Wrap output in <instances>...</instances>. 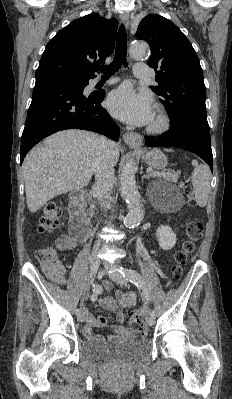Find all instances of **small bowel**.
<instances>
[{
	"instance_id": "small-bowel-1",
	"label": "small bowel",
	"mask_w": 232,
	"mask_h": 399,
	"mask_svg": "<svg viewBox=\"0 0 232 399\" xmlns=\"http://www.w3.org/2000/svg\"><path fill=\"white\" fill-rule=\"evenodd\" d=\"M57 246L62 250L74 249L79 246V243L59 242ZM104 286L108 291L113 290V284L108 280L104 281ZM116 296L118 299L117 302H115L111 297H106L100 301V305L104 308L113 309L116 313L117 320L122 321L124 308H130L135 304V294L132 291L127 294H124L122 291H116ZM80 312L86 319V322L81 325L80 330L85 334L87 343L89 345H96L98 343V336L95 334L94 329L105 326L107 324L106 319L101 315L94 316L84 305L80 306ZM130 332L131 328L129 326L119 325L117 327H113V331L108 333L107 337L109 339H118L124 337Z\"/></svg>"
}]
</instances>
